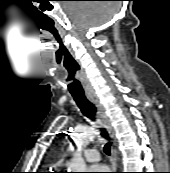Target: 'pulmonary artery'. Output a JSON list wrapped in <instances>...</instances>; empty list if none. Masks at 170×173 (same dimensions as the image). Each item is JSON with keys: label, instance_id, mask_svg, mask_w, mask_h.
<instances>
[{"label": "pulmonary artery", "instance_id": "e3ab8cb5", "mask_svg": "<svg viewBox=\"0 0 170 173\" xmlns=\"http://www.w3.org/2000/svg\"><path fill=\"white\" fill-rule=\"evenodd\" d=\"M83 156L87 162L95 163L100 160V155L96 149H86L83 152Z\"/></svg>", "mask_w": 170, "mask_h": 173}]
</instances>
